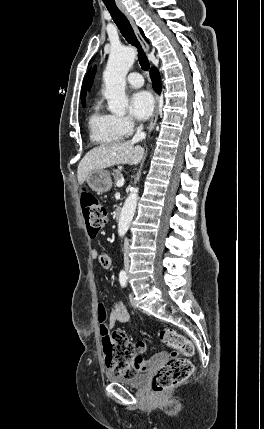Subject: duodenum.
Segmentation results:
<instances>
[{
	"instance_id": "duodenum-1",
	"label": "duodenum",
	"mask_w": 264,
	"mask_h": 429,
	"mask_svg": "<svg viewBox=\"0 0 264 429\" xmlns=\"http://www.w3.org/2000/svg\"><path fill=\"white\" fill-rule=\"evenodd\" d=\"M115 216H116V219L118 220V219H120V217H121V210L120 209H117L116 210V212H115Z\"/></svg>"
}]
</instances>
